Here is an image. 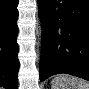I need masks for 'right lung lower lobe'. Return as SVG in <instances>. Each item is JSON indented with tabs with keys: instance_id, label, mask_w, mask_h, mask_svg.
<instances>
[{
	"instance_id": "obj_1",
	"label": "right lung lower lobe",
	"mask_w": 89,
	"mask_h": 89,
	"mask_svg": "<svg viewBox=\"0 0 89 89\" xmlns=\"http://www.w3.org/2000/svg\"><path fill=\"white\" fill-rule=\"evenodd\" d=\"M18 0H0V85L18 88Z\"/></svg>"
}]
</instances>
